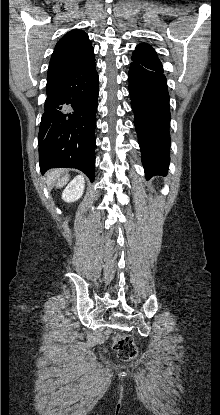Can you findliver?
Returning a JSON list of instances; mask_svg holds the SVG:
<instances>
[{"label": "liver", "mask_w": 220, "mask_h": 415, "mask_svg": "<svg viewBox=\"0 0 220 415\" xmlns=\"http://www.w3.org/2000/svg\"><path fill=\"white\" fill-rule=\"evenodd\" d=\"M69 174L64 169H53L47 173V182L55 183L56 188H61L67 184Z\"/></svg>", "instance_id": "liver-1"}]
</instances>
